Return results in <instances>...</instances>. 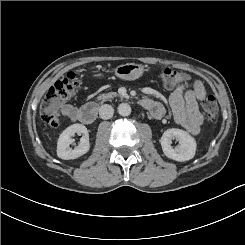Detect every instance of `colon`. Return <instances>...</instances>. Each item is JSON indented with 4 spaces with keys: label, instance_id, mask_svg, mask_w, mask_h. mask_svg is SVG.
Returning a JSON list of instances; mask_svg holds the SVG:
<instances>
[{
    "label": "colon",
    "instance_id": "1",
    "mask_svg": "<svg viewBox=\"0 0 245 245\" xmlns=\"http://www.w3.org/2000/svg\"><path fill=\"white\" fill-rule=\"evenodd\" d=\"M160 77L163 86L167 89L176 87L185 79L183 73L172 68L162 69ZM80 80L79 73L70 72L46 91L40 104V117L45 123L52 127L60 124V108L77 90ZM201 106L209 120L216 118L218 105L214 96L206 97Z\"/></svg>",
    "mask_w": 245,
    "mask_h": 245
}]
</instances>
